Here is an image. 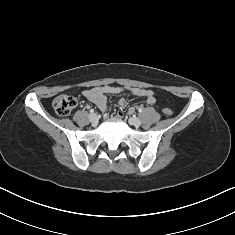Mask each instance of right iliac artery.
Here are the masks:
<instances>
[{"mask_svg": "<svg viewBox=\"0 0 235 235\" xmlns=\"http://www.w3.org/2000/svg\"><path fill=\"white\" fill-rule=\"evenodd\" d=\"M90 113H91V114H93V113H94V110H93V109H91V110H90Z\"/></svg>", "mask_w": 235, "mask_h": 235, "instance_id": "82829eb1", "label": "right iliac artery"}]
</instances>
